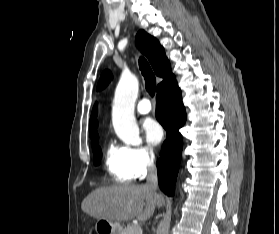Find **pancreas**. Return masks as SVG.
I'll return each instance as SVG.
<instances>
[{
    "instance_id": "obj_1",
    "label": "pancreas",
    "mask_w": 279,
    "mask_h": 234,
    "mask_svg": "<svg viewBox=\"0 0 279 234\" xmlns=\"http://www.w3.org/2000/svg\"><path fill=\"white\" fill-rule=\"evenodd\" d=\"M136 227L135 225H127V227L122 230L121 234H141V232L135 231Z\"/></svg>"
}]
</instances>
